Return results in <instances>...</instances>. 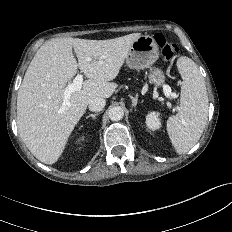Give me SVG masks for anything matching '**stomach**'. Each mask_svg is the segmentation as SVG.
I'll list each match as a JSON object with an SVG mask.
<instances>
[{"label": "stomach", "mask_w": 232, "mask_h": 232, "mask_svg": "<svg viewBox=\"0 0 232 232\" xmlns=\"http://www.w3.org/2000/svg\"><path fill=\"white\" fill-rule=\"evenodd\" d=\"M159 57V48L152 36L141 35L132 44L126 57V64L131 69H149L148 81L154 86H161L165 82L164 72L153 67Z\"/></svg>", "instance_id": "stomach-1"}]
</instances>
